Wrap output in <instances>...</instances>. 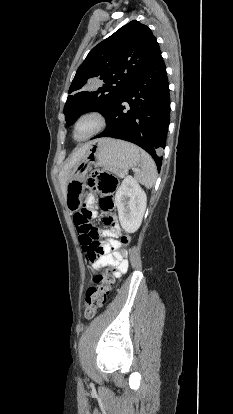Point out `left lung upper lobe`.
Listing matches in <instances>:
<instances>
[{"label": "left lung upper lobe", "instance_id": "1", "mask_svg": "<svg viewBox=\"0 0 233 414\" xmlns=\"http://www.w3.org/2000/svg\"><path fill=\"white\" fill-rule=\"evenodd\" d=\"M159 52L151 30L136 20L95 46L79 66L69 88L71 95L64 107L67 124L88 111L107 116ZM95 82L101 87L94 88Z\"/></svg>", "mask_w": 233, "mask_h": 414}]
</instances>
